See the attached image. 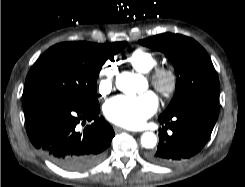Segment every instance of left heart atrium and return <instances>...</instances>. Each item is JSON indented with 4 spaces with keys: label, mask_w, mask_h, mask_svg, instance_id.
Returning a JSON list of instances; mask_svg holds the SVG:
<instances>
[{
    "label": "left heart atrium",
    "mask_w": 245,
    "mask_h": 187,
    "mask_svg": "<svg viewBox=\"0 0 245 187\" xmlns=\"http://www.w3.org/2000/svg\"><path fill=\"white\" fill-rule=\"evenodd\" d=\"M158 108V98L151 92L134 97L115 96L103 107L105 117L114 124L137 128L152 116Z\"/></svg>",
    "instance_id": "left-heart-atrium-1"
}]
</instances>
